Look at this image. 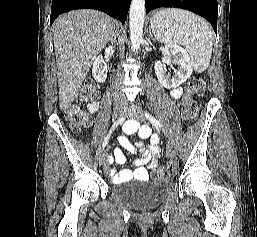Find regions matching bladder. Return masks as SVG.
I'll use <instances>...</instances> for the list:
<instances>
[{
	"label": "bladder",
	"mask_w": 257,
	"mask_h": 237,
	"mask_svg": "<svg viewBox=\"0 0 257 237\" xmlns=\"http://www.w3.org/2000/svg\"><path fill=\"white\" fill-rule=\"evenodd\" d=\"M141 183L143 187L128 189L121 194L123 202L134 210H150L159 206L172 189V181L167 179L143 180Z\"/></svg>",
	"instance_id": "31cf9c89"
}]
</instances>
